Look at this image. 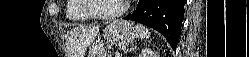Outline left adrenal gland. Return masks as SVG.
<instances>
[{
	"mask_svg": "<svg viewBox=\"0 0 249 57\" xmlns=\"http://www.w3.org/2000/svg\"><path fill=\"white\" fill-rule=\"evenodd\" d=\"M137 45L132 49V51H134L136 49Z\"/></svg>",
	"mask_w": 249,
	"mask_h": 57,
	"instance_id": "obj_1",
	"label": "left adrenal gland"
}]
</instances>
